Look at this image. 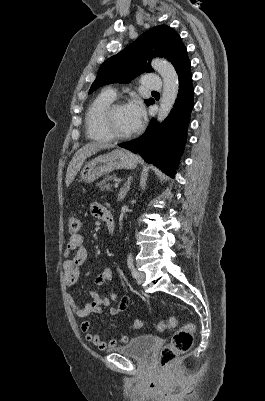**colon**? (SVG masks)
Returning a JSON list of instances; mask_svg holds the SVG:
<instances>
[{"instance_id": "1", "label": "colon", "mask_w": 265, "mask_h": 401, "mask_svg": "<svg viewBox=\"0 0 265 401\" xmlns=\"http://www.w3.org/2000/svg\"><path fill=\"white\" fill-rule=\"evenodd\" d=\"M81 229V220L77 215H70L67 219V231L70 235H76ZM123 309L126 305L122 306ZM178 320L172 316L158 323L159 331H167L177 326ZM133 326L140 329L143 322L139 319L134 320ZM195 325L188 323L178 329L172 336L170 342L162 349L160 353V365L163 370H169L178 356L188 352L193 344Z\"/></svg>"}]
</instances>
